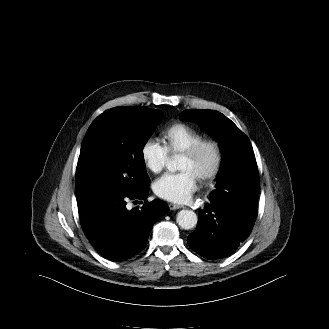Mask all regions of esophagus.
<instances>
[{
	"mask_svg": "<svg viewBox=\"0 0 329 329\" xmlns=\"http://www.w3.org/2000/svg\"><path fill=\"white\" fill-rule=\"evenodd\" d=\"M182 207H183L182 205H178V204H174V203L169 204V209L170 210H176V209H179V208H182Z\"/></svg>",
	"mask_w": 329,
	"mask_h": 329,
	"instance_id": "obj_1",
	"label": "esophagus"
}]
</instances>
